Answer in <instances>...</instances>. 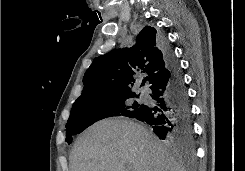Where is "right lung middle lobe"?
I'll return each mask as SVG.
<instances>
[{
	"label": "right lung middle lobe",
	"instance_id": "obj_1",
	"mask_svg": "<svg viewBox=\"0 0 245 171\" xmlns=\"http://www.w3.org/2000/svg\"><path fill=\"white\" fill-rule=\"evenodd\" d=\"M134 97H137L136 94H120L96 100L76 101L72 106L70 117L67 121V143L70 144L73 136L104 118L113 116L132 118L142 106L137 101L132 102L130 100V98Z\"/></svg>",
	"mask_w": 245,
	"mask_h": 171
}]
</instances>
